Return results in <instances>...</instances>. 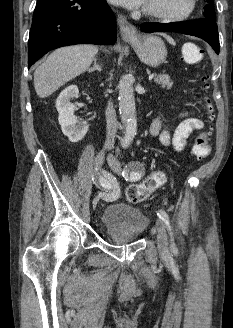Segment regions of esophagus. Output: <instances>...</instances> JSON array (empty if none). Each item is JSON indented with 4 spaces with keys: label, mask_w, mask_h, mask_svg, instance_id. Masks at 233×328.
<instances>
[{
    "label": "esophagus",
    "mask_w": 233,
    "mask_h": 328,
    "mask_svg": "<svg viewBox=\"0 0 233 328\" xmlns=\"http://www.w3.org/2000/svg\"><path fill=\"white\" fill-rule=\"evenodd\" d=\"M118 25L123 40L131 41L137 39V29L134 25L127 21L123 15H118Z\"/></svg>",
    "instance_id": "esophagus-1"
}]
</instances>
